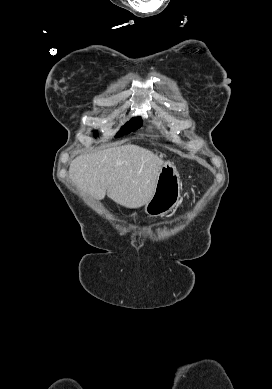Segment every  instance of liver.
<instances>
[{
	"mask_svg": "<svg viewBox=\"0 0 272 389\" xmlns=\"http://www.w3.org/2000/svg\"><path fill=\"white\" fill-rule=\"evenodd\" d=\"M164 164L162 156L133 144L99 150L75 158L69 178L79 190L131 209L151 199Z\"/></svg>",
	"mask_w": 272,
	"mask_h": 389,
	"instance_id": "1",
	"label": "liver"
}]
</instances>
